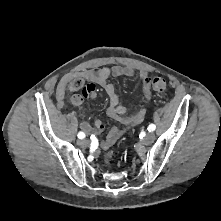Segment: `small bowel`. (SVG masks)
<instances>
[{"label":"small bowel","mask_w":221,"mask_h":221,"mask_svg":"<svg viewBox=\"0 0 221 221\" xmlns=\"http://www.w3.org/2000/svg\"><path fill=\"white\" fill-rule=\"evenodd\" d=\"M134 75V70L129 66L101 67L97 69L84 70L73 75H67L62 78L58 85L56 94L57 104L59 107L63 106L67 85L73 78L81 77L88 81L82 87V90L85 94H75L71 97L70 100L71 104L74 107L78 108L80 111H82L83 109L84 98H96L97 93L95 91L94 85L97 84L101 86L104 89L109 101V107L107 111L108 115L116 121L125 125L124 129L114 127L108 132L106 138L102 142V146L108 148L112 146L125 133L128 128L141 123L145 118V108H141L133 114H127L126 107L120 103L115 86L108 82V79L110 77H133ZM139 77L142 81V90L144 96L147 100H149L151 97V79L148 73L145 71H141L139 73ZM81 129L87 133L97 135L104 130V125L101 120H96L93 126L89 122L83 120L81 122Z\"/></svg>","instance_id":"1"}]
</instances>
